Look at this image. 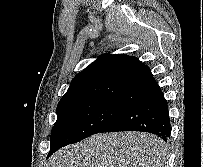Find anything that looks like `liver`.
I'll return each instance as SVG.
<instances>
[{
	"label": "liver",
	"instance_id": "liver-1",
	"mask_svg": "<svg viewBox=\"0 0 203 167\" xmlns=\"http://www.w3.org/2000/svg\"><path fill=\"white\" fill-rule=\"evenodd\" d=\"M167 145L142 132L99 133L57 151L48 167H168Z\"/></svg>",
	"mask_w": 203,
	"mask_h": 167
}]
</instances>
